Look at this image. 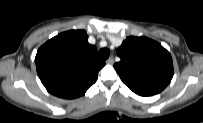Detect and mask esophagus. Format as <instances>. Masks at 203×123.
I'll use <instances>...</instances> for the list:
<instances>
[{
    "label": "esophagus",
    "instance_id": "obj_1",
    "mask_svg": "<svg viewBox=\"0 0 203 123\" xmlns=\"http://www.w3.org/2000/svg\"><path fill=\"white\" fill-rule=\"evenodd\" d=\"M106 63H107V64H113V63H114V58H113V57H109V58L106 60Z\"/></svg>",
    "mask_w": 203,
    "mask_h": 123
}]
</instances>
